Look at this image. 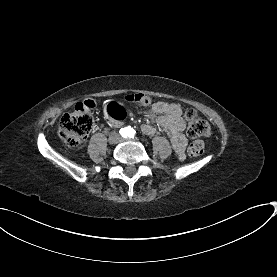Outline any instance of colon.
<instances>
[{
	"label": "colon",
	"mask_w": 277,
	"mask_h": 277,
	"mask_svg": "<svg viewBox=\"0 0 277 277\" xmlns=\"http://www.w3.org/2000/svg\"><path fill=\"white\" fill-rule=\"evenodd\" d=\"M125 102L136 107H148L151 98L142 94H128L124 96ZM96 103L92 99H83L73 112L65 113L60 120L58 134L65 145L74 148L80 145L89 134L93 124V112ZM188 135L195 139L188 147V153L192 157L203 153L205 145L200 139L210 135L209 123L195 110L185 112Z\"/></svg>",
	"instance_id": "5ec220e1"
}]
</instances>
